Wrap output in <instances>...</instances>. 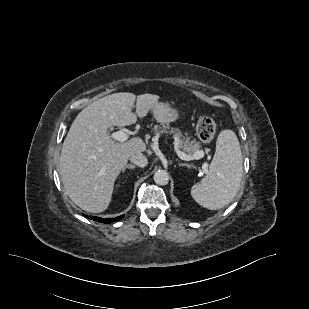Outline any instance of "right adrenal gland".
<instances>
[{
	"instance_id": "1",
	"label": "right adrenal gland",
	"mask_w": 309,
	"mask_h": 309,
	"mask_svg": "<svg viewBox=\"0 0 309 309\" xmlns=\"http://www.w3.org/2000/svg\"><path fill=\"white\" fill-rule=\"evenodd\" d=\"M136 166L132 165V164H127L126 166H124V168L122 169V172H124L126 169H134Z\"/></svg>"
}]
</instances>
